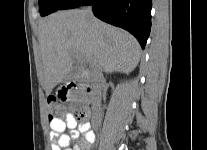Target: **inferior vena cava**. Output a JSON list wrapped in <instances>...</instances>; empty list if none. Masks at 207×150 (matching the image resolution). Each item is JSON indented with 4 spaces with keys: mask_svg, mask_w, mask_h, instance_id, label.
I'll return each mask as SVG.
<instances>
[{
    "mask_svg": "<svg viewBox=\"0 0 207 150\" xmlns=\"http://www.w3.org/2000/svg\"><path fill=\"white\" fill-rule=\"evenodd\" d=\"M85 15L88 19L93 18V13L91 7H86L85 8ZM92 77H93V82H94V88H95V93L99 97L101 96V89L105 83V79L103 77L102 73V68L100 65L95 64L92 69Z\"/></svg>",
    "mask_w": 207,
    "mask_h": 150,
    "instance_id": "inferior-vena-cava-1",
    "label": "inferior vena cava"
}]
</instances>
